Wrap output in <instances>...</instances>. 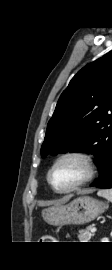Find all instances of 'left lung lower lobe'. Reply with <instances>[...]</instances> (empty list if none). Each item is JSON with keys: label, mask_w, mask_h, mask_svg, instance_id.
Returning <instances> with one entry per match:
<instances>
[{"label": "left lung lower lobe", "mask_w": 112, "mask_h": 270, "mask_svg": "<svg viewBox=\"0 0 112 270\" xmlns=\"http://www.w3.org/2000/svg\"><path fill=\"white\" fill-rule=\"evenodd\" d=\"M91 186L104 189L112 188V151L100 170L99 179Z\"/></svg>", "instance_id": "left-lung-lower-lobe-1"}]
</instances>
